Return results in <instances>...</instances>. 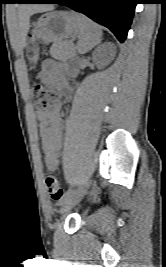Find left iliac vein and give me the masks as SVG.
<instances>
[{
  "label": "left iliac vein",
  "instance_id": "4c4485c4",
  "mask_svg": "<svg viewBox=\"0 0 166 267\" xmlns=\"http://www.w3.org/2000/svg\"><path fill=\"white\" fill-rule=\"evenodd\" d=\"M89 182L86 181L80 185L74 192H72L66 201L63 203V207L60 210L61 214L67 213L72 207L78 204L87 192Z\"/></svg>",
  "mask_w": 166,
  "mask_h": 267
}]
</instances>
